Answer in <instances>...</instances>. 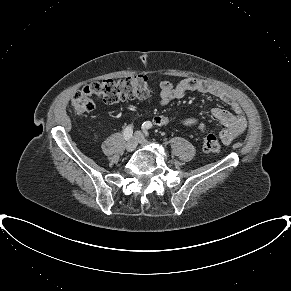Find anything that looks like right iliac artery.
Returning <instances> with one entry per match:
<instances>
[{
	"instance_id": "right-iliac-artery-1",
	"label": "right iliac artery",
	"mask_w": 291,
	"mask_h": 291,
	"mask_svg": "<svg viewBox=\"0 0 291 291\" xmlns=\"http://www.w3.org/2000/svg\"><path fill=\"white\" fill-rule=\"evenodd\" d=\"M132 134H133V126L129 125L123 131L124 138L126 140H129L132 137Z\"/></svg>"
}]
</instances>
